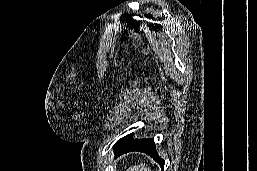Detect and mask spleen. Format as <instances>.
Here are the masks:
<instances>
[{
    "instance_id": "1",
    "label": "spleen",
    "mask_w": 257,
    "mask_h": 171,
    "mask_svg": "<svg viewBox=\"0 0 257 171\" xmlns=\"http://www.w3.org/2000/svg\"><path fill=\"white\" fill-rule=\"evenodd\" d=\"M126 171H151V169L145 166V164L140 163L139 165L131 166Z\"/></svg>"
}]
</instances>
